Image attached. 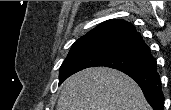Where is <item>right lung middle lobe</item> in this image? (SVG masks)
I'll list each match as a JSON object with an SVG mask.
<instances>
[{
    "label": "right lung middle lobe",
    "mask_w": 171,
    "mask_h": 110,
    "mask_svg": "<svg viewBox=\"0 0 171 110\" xmlns=\"http://www.w3.org/2000/svg\"><path fill=\"white\" fill-rule=\"evenodd\" d=\"M96 66L122 72L144 71L156 66V60L134 49L107 43L93 42L73 46L60 67L59 85L75 72Z\"/></svg>",
    "instance_id": "1"
}]
</instances>
